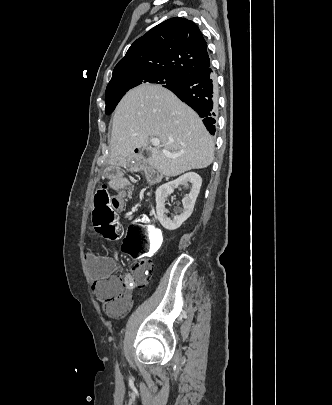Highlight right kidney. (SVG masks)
Listing matches in <instances>:
<instances>
[{
    "label": "right kidney",
    "instance_id": "ca27d5eb",
    "mask_svg": "<svg viewBox=\"0 0 332 405\" xmlns=\"http://www.w3.org/2000/svg\"><path fill=\"white\" fill-rule=\"evenodd\" d=\"M191 184L190 193L182 199L183 212L172 219L167 217L165 201L168 195L174 192L179 185ZM202 184V178L194 172L186 173L179 178L161 185L156 190V213L161 225L169 231L178 229L192 214L195 201L198 197Z\"/></svg>",
    "mask_w": 332,
    "mask_h": 405
}]
</instances>
